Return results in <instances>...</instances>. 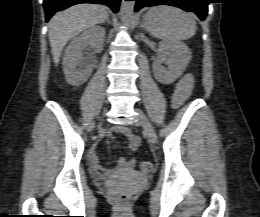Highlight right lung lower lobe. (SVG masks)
Segmentation results:
<instances>
[{
  "instance_id": "right-lung-lower-lobe-1",
  "label": "right lung lower lobe",
  "mask_w": 260,
  "mask_h": 217,
  "mask_svg": "<svg viewBox=\"0 0 260 217\" xmlns=\"http://www.w3.org/2000/svg\"><path fill=\"white\" fill-rule=\"evenodd\" d=\"M79 3H95L109 6L114 13L118 11L120 0H44L43 5L46 14V21L57 11L64 10Z\"/></svg>"
}]
</instances>
